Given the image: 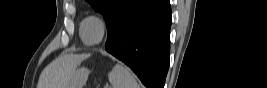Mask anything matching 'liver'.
<instances>
[{"label":"liver","instance_id":"liver-1","mask_svg":"<svg viewBox=\"0 0 267 88\" xmlns=\"http://www.w3.org/2000/svg\"><path fill=\"white\" fill-rule=\"evenodd\" d=\"M85 57L84 54L59 56L42 71L37 88H65Z\"/></svg>","mask_w":267,"mask_h":88}]
</instances>
